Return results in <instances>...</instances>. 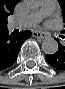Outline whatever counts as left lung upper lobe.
I'll return each instance as SVG.
<instances>
[{"label": "left lung upper lobe", "instance_id": "5c2ea615", "mask_svg": "<svg viewBox=\"0 0 65 89\" xmlns=\"http://www.w3.org/2000/svg\"><path fill=\"white\" fill-rule=\"evenodd\" d=\"M59 2H60V6L62 8V11H63V18H64V22H65V1L59 0Z\"/></svg>", "mask_w": 65, "mask_h": 89}]
</instances>
